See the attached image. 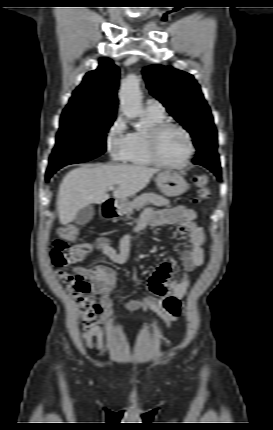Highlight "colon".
<instances>
[{"instance_id": "5ec220e1", "label": "colon", "mask_w": 273, "mask_h": 430, "mask_svg": "<svg viewBox=\"0 0 273 430\" xmlns=\"http://www.w3.org/2000/svg\"><path fill=\"white\" fill-rule=\"evenodd\" d=\"M194 183L199 189L194 201L200 202L206 199L210 194L208 177L196 176ZM59 232L61 238L54 243L50 254L51 262L56 268L58 277L67 285L76 300L82 317L83 329L88 331L101 313L102 307L91 295V284H86L87 278L80 274L70 273L65 268L83 260L91 252V245L77 240L79 229L74 224L63 226Z\"/></svg>"}]
</instances>
